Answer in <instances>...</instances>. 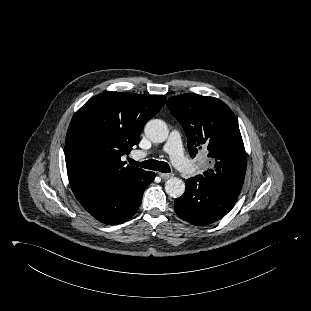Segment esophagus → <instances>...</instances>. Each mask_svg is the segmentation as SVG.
<instances>
[{
	"instance_id": "esophagus-1",
	"label": "esophagus",
	"mask_w": 311,
	"mask_h": 311,
	"mask_svg": "<svg viewBox=\"0 0 311 311\" xmlns=\"http://www.w3.org/2000/svg\"><path fill=\"white\" fill-rule=\"evenodd\" d=\"M159 176L162 178V179H168V178H171L173 176V174L171 173H159Z\"/></svg>"
}]
</instances>
